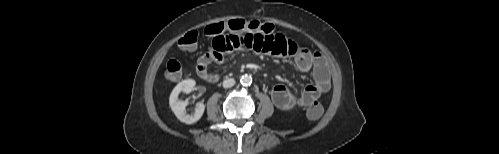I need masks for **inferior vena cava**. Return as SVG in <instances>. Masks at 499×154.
<instances>
[{"instance_id": "obj_1", "label": "inferior vena cava", "mask_w": 499, "mask_h": 154, "mask_svg": "<svg viewBox=\"0 0 499 154\" xmlns=\"http://www.w3.org/2000/svg\"><path fill=\"white\" fill-rule=\"evenodd\" d=\"M235 85V80L233 78H229L223 81L224 88H230Z\"/></svg>"}]
</instances>
